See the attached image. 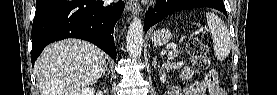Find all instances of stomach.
<instances>
[{"label": "stomach", "instance_id": "0dacf381", "mask_svg": "<svg viewBox=\"0 0 277 95\" xmlns=\"http://www.w3.org/2000/svg\"><path fill=\"white\" fill-rule=\"evenodd\" d=\"M172 38V34L168 29H160L152 34L151 40L154 45L162 46L168 43Z\"/></svg>", "mask_w": 277, "mask_h": 95}]
</instances>
